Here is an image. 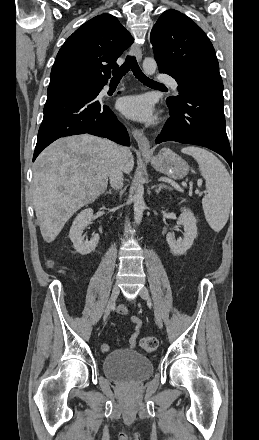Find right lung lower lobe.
Returning a JSON list of instances; mask_svg holds the SVG:
<instances>
[{
	"instance_id": "obj_1",
	"label": "right lung lower lobe",
	"mask_w": 259,
	"mask_h": 440,
	"mask_svg": "<svg viewBox=\"0 0 259 440\" xmlns=\"http://www.w3.org/2000/svg\"><path fill=\"white\" fill-rule=\"evenodd\" d=\"M98 90H76L47 95L33 161L58 138L89 133L130 146L126 128L97 96Z\"/></svg>"
}]
</instances>
